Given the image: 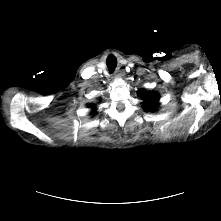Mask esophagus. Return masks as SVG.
<instances>
[{
  "label": "esophagus",
  "mask_w": 221,
  "mask_h": 221,
  "mask_svg": "<svg viewBox=\"0 0 221 221\" xmlns=\"http://www.w3.org/2000/svg\"><path fill=\"white\" fill-rule=\"evenodd\" d=\"M122 70H118V71H116L117 72V74H116V76H119L120 74L118 73V72H121Z\"/></svg>",
  "instance_id": "esophagus-1"
}]
</instances>
